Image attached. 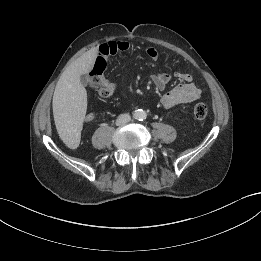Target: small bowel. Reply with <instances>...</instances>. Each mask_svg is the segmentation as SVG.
Listing matches in <instances>:
<instances>
[{"label": "small bowel", "instance_id": "1", "mask_svg": "<svg viewBox=\"0 0 261 261\" xmlns=\"http://www.w3.org/2000/svg\"><path fill=\"white\" fill-rule=\"evenodd\" d=\"M129 49L130 43L126 40H113L105 42L99 47L95 64L100 62L106 66V60L109 57L120 53H125L129 51ZM145 53L153 61H157L159 59V53L153 47H147L145 49ZM173 76L179 79L180 82L162 95L160 102L165 109L191 103L200 97L201 91L192 81L190 74L176 72ZM173 76L167 72L159 71L152 75V81L158 90L164 91L167 85L171 82ZM107 82L112 88L113 93L116 89V84L111 81ZM94 118L93 113H88L85 115L84 120L85 122L90 123L94 120Z\"/></svg>", "mask_w": 261, "mask_h": 261}]
</instances>
